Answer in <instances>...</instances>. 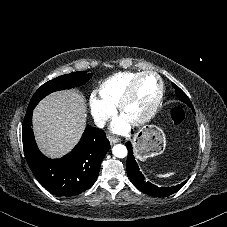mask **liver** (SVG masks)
<instances>
[{"label":"liver","instance_id":"1","mask_svg":"<svg viewBox=\"0 0 227 227\" xmlns=\"http://www.w3.org/2000/svg\"><path fill=\"white\" fill-rule=\"evenodd\" d=\"M84 97L74 90L54 92L35 108L33 128L41 151L50 158L68 153L86 126Z\"/></svg>","mask_w":227,"mask_h":227}]
</instances>
